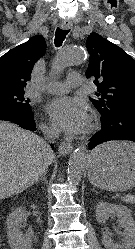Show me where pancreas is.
I'll list each match as a JSON object with an SVG mask.
<instances>
[{"label":"pancreas","instance_id":"1","mask_svg":"<svg viewBox=\"0 0 135 249\" xmlns=\"http://www.w3.org/2000/svg\"><path fill=\"white\" fill-rule=\"evenodd\" d=\"M122 200L129 204H135V197L133 196H125Z\"/></svg>","mask_w":135,"mask_h":249}]
</instances>
